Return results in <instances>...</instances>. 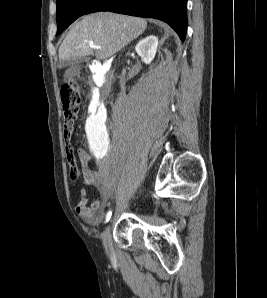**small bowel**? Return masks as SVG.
<instances>
[{
    "instance_id": "1",
    "label": "small bowel",
    "mask_w": 267,
    "mask_h": 298,
    "mask_svg": "<svg viewBox=\"0 0 267 298\" xmlns=\"http://www.w3.org/2000/svg\"><path fill=\"white\" fill-rule=\"evenodd\" d=\"M95 179V173L87 166L83 169V180L87 187H90ZM111 192H105L102 194L101 200H94L88 203L86 198V189L81 192V200L76 207L78 215L87 223L97 224L100 220V214L102 209L107 204Z\"/></svg>"
}]
</instances>
